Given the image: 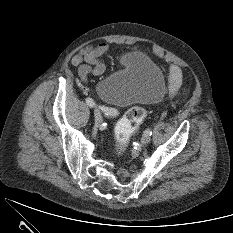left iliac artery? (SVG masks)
<instances>
[{
	"mask_svg": "<svg viewBox=\"0 0 233 233\" xmlns=\"http://www.w3.org/2000/svg\"><path fill=\"white\" fill-rule=\"evenodd\" d=\"M145 134L151 136L152 135V131L150 129H147V130H145Z\"/></svg>",
	"mask_w": 233,
	"mask_h": 233,
	"instance_id": "1",
	"label": "left iliac artery"
}]
</instances>
